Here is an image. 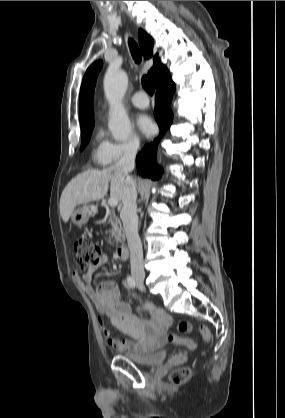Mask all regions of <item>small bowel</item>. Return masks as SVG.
<instances>
[{
    "label": "small bowel",
    "mask_w": 285,
    "mask_h": 418,
    "mask_svg": "<svg viewBox=\"0 0 285 418\" xmlns=\"http://www.w3.org/2000/svg\"><path fill=\"white\" fill-rule=\"evenodd\" d=\"M108 264V257L102 254L97 262L89 265L85 272L77 276L99 314L98 323L109 345L118 351L147 352L159 349L167 341L166 334L173 322L171 316L149 303H142L138 310L132 311L130 305L123 299L119 286L112 281H102L93 287L91 285L93 273ZM143 312L149 317H144ZM109 326L137 339L139 343L112 338ZM189 340L190 344L186 346L194 350L196 342Z\"/></svg>",
    "instance_id": "c3829d8e"
}]
</instances>
